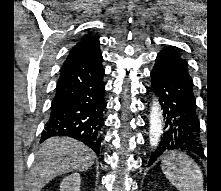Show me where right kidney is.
<instances>
[{"label": "right kidney", "instance_id": "1", "mask_svg": "<svg viewBox=\"0 0 221 191\" xmlns=\"http://www.w3.org/2000/svg\"><path fill=\"white\" fill-rule=\"evenodd\" d=\"M80 184V174L73 173L62 180L60 184V191H80Z\"/></svg>", "mask_w": 221, "mask_h": 191}]
</instances>
